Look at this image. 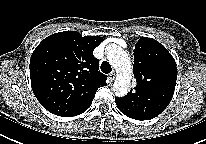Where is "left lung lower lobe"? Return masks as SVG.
I'll use <instances>...</instances> for the list:
<instances>
[{"label": "left lung lower lobe", "mask_w": 206, "mask_h": 144, "mask_svg": "<svg viewBox=\"0 0 206 144\" xmlns=\"http://www.w3.org/2000/svg\"><path fill=\"white\" fill-rule=\"evenodd\" d=\"M115 102L117 105V108L126 116L136 119V120H149L156 116H158L164 109H158L159 106H157L154 102L149 103L147 100H143L141 103V106L144 107L139 115L131 116L128 109L125 106V102L121 99L116 97Z\"/></svg>", "instance_id": "1"}]
</instances>
